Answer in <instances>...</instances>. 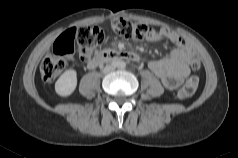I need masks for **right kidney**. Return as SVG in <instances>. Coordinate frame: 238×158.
I'll return each mask as SVG.
<instances>
[{"label": "right kidney", "instance_id": "1", "mask_svg": "<svg viewBox=\"0 0 238 158\" xmlns=\"http://www.w3.org/2000/svg\"><path fill=\"white\" fill-rule=\"evenodd\" d=\"M77 86V72L73 69L66 70L56 81L55 91L62 97L70 96Z\"/></svg>", "mask_w": 238, "mask_h": 158}]
</instances>
